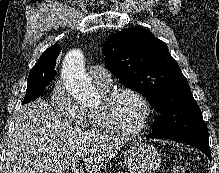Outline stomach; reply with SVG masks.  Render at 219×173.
Wrapping results in <instances>:
<instances>
[{
    "label": "stomach",
    "mask_w": 219,
    "mask_h": 173,
    "mask_svg": "<svg viewBox=\"0 0 219 173\" xmlns=\"http://www.w3.org/2000/svg\"><path fill=\"white\" fill-rule=\"evenodd\" d=\"M122 156L130 173H153L162 160L161 153L144 142H133L123 151Z\"/></svg>",
    "instance_id": "1"
}]
</instances>
